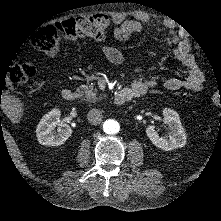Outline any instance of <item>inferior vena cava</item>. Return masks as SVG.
<instances>
[{"label": "inferior vena cava", "mask_w": 221, "mask_h": 221, "mask_svg": "<svg viewBox=\"0 0 221 221\" xmlns=\"http://www.w3.org/2000/svg\"><path fill=\"white\" fill-rule=\"evenodd\" d=\"M103 113L99 109H91L87 115L89 123L92 125H99L102 121Z\"/></svg>", "instance_id": "1"}]
</instances>
